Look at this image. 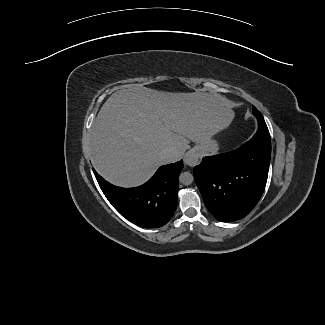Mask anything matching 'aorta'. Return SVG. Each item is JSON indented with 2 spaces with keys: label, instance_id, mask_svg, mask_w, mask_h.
<instances>
[{
  "label": "aorta",
  "instance_id": "1",
  "mask_svg": "<svg viewBox=\"0 0 325 325\" xmlns=\"http://www.w3.org/2000/svg\"><path fill=\"white\" fill-rule=\"evenodd\" d=\"M194 180L193 175L190 172H183L179 176V181L183 185H190Z\"/></svg>",
  "mask_w": 325,
  "mask_h": 325
}]
</instances>
